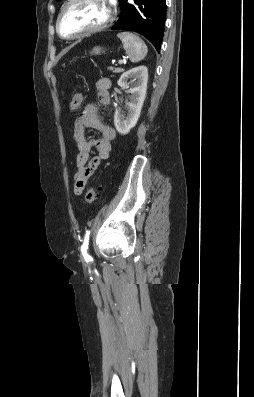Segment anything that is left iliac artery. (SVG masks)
I'll return each mask as SVG.
<instances>
[{
  "label": "left iliac artery",
  "instance_id": "obj_1",
  "mask_svg": "<svg viewBox=\"0 0 254 397\" xmlns=\"http://www.w3.org/2000/svg\"><path fill=\"white\" fill-rule=\"evenodd\" d=\"M89 234H90V231H89V230L86 231V235H85V238H84V242H83L82 247H81L82 254H83L85 260H87V261H90V260H91V257H90V255L88 254Z\"/></svg>",
  "mask_w": 254,
  "mask_h": 397
}]
</instances>
